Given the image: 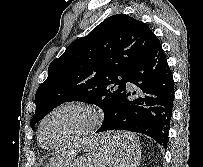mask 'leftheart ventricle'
Returning <instances> with one entry per match:
<instances>
[{"mask_svg":"<svg viewBox=\"0 0 203 167\" xmlns=\"http://www.w3.org/2000/svg\"><path fill=\"white\" fill-rule=\"evenodd\" d=\"M87 114L66 109L51 117L44 126L43 139L47 145L59 143L82 130L88 124Z\"/></svg>","mask_w":203,"mask_h":167,"instance_id":"obj_1","label":"left heart ventricle"}]
</instances>
